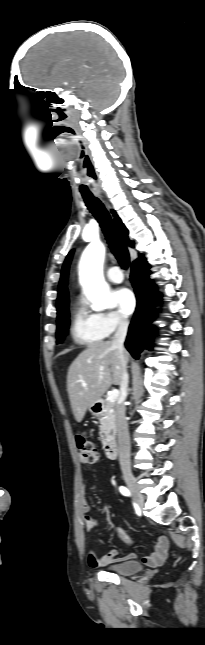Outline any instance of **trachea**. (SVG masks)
I'll return each instance as SVG.
<instances>
[{"label":"trachea","mask_w":205,"mask_h":645,"mask_svg":"<svg viewBox=\"0 0 205 645\" xmlns=\"http://www.w3.org/2000/svg\"><path fill=\"white\" fill-rule=\"evenodd\" d=\"M83 199L89 211L99 222L113 255L122 268L127 269L130 264L129 252L105 206L94 196H83Z\"/></svg>","instance_id":"trachea-1"}]
</instances>
